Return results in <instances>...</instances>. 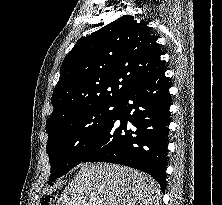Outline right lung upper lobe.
Listing matches in <instances>:
<instances>
[{
    "label": "right lung upper lobe",
    "instance_id": "obj_1",
    "mask_svg": "<svg viewBox=\"0 0 222 205\" xmlns=\"http://www.w3.org/2000/svg\"><path fill=\"white\" fill-rule=\"evenodd\" d=\"M160 55L147 23L131 15L81 38L60 68L46 126L94 104L120 102L131 88L165 69Z\"/></svg>",
    "mask_w": 222,
    "mask_h": 205
}]
</instances>
